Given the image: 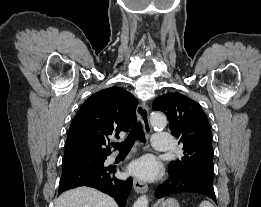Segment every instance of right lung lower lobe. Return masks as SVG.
<instances>
[{"mask_svg":"<svg viewBox=\"0 0 261 207\" xmlns=\"http://www.w3.org/2000/svg\"><path fill=\"white\" fill-rule=\"evenodd\" d=\"M104 161L95 166L62 171L58 195L68 189L88 186L109 194L115 199L119 207H125L132 188V179L128 178L126 181L117 179L114 176L116 167L105 166Z\"/></svg>","mask_w":261,"mask_h":207,"instance_id":"98d812e1","label":"right lung lower lobe"}]
</instances>
